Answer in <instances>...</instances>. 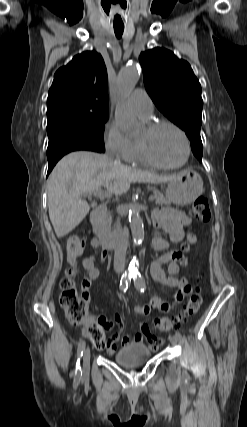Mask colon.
Masks as SVG:
<instances>
[{"instance_id": "5ec220e1", "label": "colon", "mask_w": 247, "mask_h": 427, "mask_svg": "<svg viewBox=\"0 0 247 427\" xmlns=\"http://www.w3.org/2000/svg\"><path fill=\"white\" fill-rule=\"evenodd\" d=\"M191 215L198 221L208 222L211 217L208 199L204 196L198 197L192 205ZM85 247L83 238L72 236L68 239L66 245L67 260L70 267L66 271L65 277L60 282L61 294L59 303L63 309L68 321L77 327H80L85 336L92 342L97 349H104L108 346V341L105 339L103 327L89 321L87 304L83 296L77 290L76 262L82 255ZM186 252L191 250L190 245L184 247ZM183 260L184 257H183ZM203 302L201 289L196 286L192 292L186 306L177 315L171 317H162L155 320V326L162 331H172L180 328L189 318L194 316L200 309Z\"/></svg>"}]
</instances>
